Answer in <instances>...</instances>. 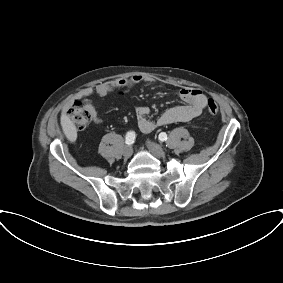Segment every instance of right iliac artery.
Returning <instances> with one entry per match:
<instances>
[{"label": "right iliac artery", "mask_w": 283, "mask_h": 283, "mask_svg": "<svg viewBox=\"0 0 283 283\" xmlns=\"http://www.w3.org/2000/svg\"><path fill=\"white\" fill-rule=\"evenodd\" d=\"M135 138H136L135 132H134V131H129V132L126 134L125 143L128 144V145H131V144L134 143Z\"/></svg>", "instance_id": "obj_1"}]
</instances>
